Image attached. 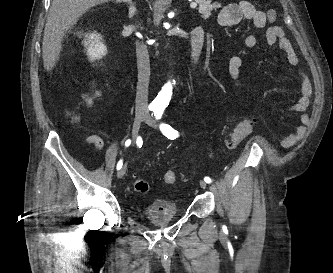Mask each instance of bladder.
I'll use <instances>...</instances> for the list:
<instances>
[{"mask_svg": "<svg viewBox=\"0 0 333 273\" xmlns=\"http://www.w3.org/2000/svg\"><path fill=\"white\" fill-rule=\"evenodd\" d=\"M179 215V209L173 201L160 200L146 205L138 218L146 220L156 226H164Z\"/></svg>", "mask_w": 333, "mask_h": 273, "instance_id": "1", "label": "bladder"}]
</instances>
